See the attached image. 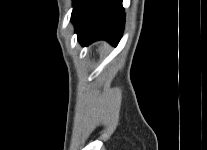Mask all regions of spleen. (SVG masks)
I'll list each match as a JSON object with an SVG mask.
<instances>
[{
	"instance_id": "3e777b00",
	"label": "spleen",
	"mask_w": 207,
	"mask_h": 150,
	"mask_svg": "<svg viewBox=\"0 0 207 150\" xmlns=\"http://www.w3.org/2000/svg\"><path fill=\"white\" fill-rule=\"evenodd\" d=\"M106 47H107V45L105 43L101 44V49L106 48Z\"/></svg>"
}]
</instances>
